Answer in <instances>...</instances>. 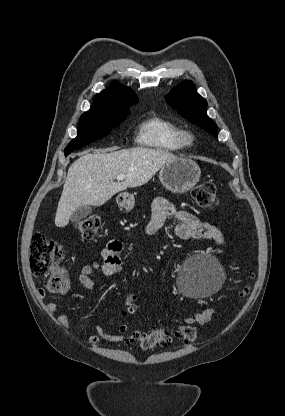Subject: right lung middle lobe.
I'll return each instance as SVG.
<instances>
[{
    "label": "right lung middle lobe",
    "mask_w": 285,
    "mask_h": 416,
    "mask_svg": "<svg viewBox=\"0 0 285 416\" xmlns=\"http://www.w3.org/2000/svg\"><path fill=\"white\" fill-rule=\"evenodd\" d=\"M129 111V108L111 110L90 108L81 116L77 137L67 145L64 152L67 153L81 148L108 135L112 128L117 127L126 118Z\"/></svg>",
    "instance_id": "right-lung-middle-lobe-1"
}]
</instances>
